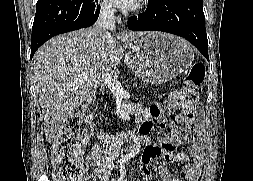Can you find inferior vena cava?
Masks as SVG:
<instances>
[{"instance_id":"inferior-vena-cava-1","label":"inferior vena cava","mask_w":253,"mask_h":181,"mask_svg":"<svg viewBox=\"0 0 253 181\" xmlns=\"http://www.w3.org/2000/svg\"><path fill=\"white\" fill-rule=\"evenodd\" d=\"M115 11L114 5L110 2L101 4L100 14L95 27L103 35V39H107L109 31L115 28Z\"/></svg>"}]
</instances>
